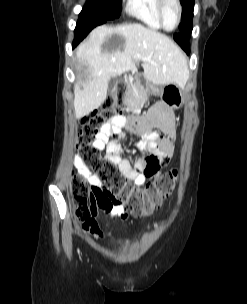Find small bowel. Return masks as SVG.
<instances>
[{"label": "small bowel", "mask_w": 247, "mask_h": 304, "mask_svg": "<svg viewBox=\"0 0 247 304\" xmlns=\"http://www.w3.org/2000/svg\"><path fill=\"white\" fill-rule=\"evenodd\" d=\"M147 120L151 122L153 127H157L163 135L149 130L148 125L145 123L127 120L124 116L117 115L102 126L94 141V145L100 151L105 148L107 150V155L103 157L104 162H111V165H117L121 173L131 180L137 188L141 187L146 179L155 176L160 168L169 164L174 154L173 142L176 137V130L172 110L163 103H157L149 110ZM123 128H127L132 134L141 136L138 147L141 150L150 151L144 152L142 159H134L137 160L134 164L131 163L130 158H127L126 152H121L124 150L123 144L109 142V139L116 141L121 137ZM132 156L136 155L133 154ZM155 158L157 160V167L151 168L148 159ZM74 165L78 173L101 195L100 199L95 201L93 216H96L98 211L102 210L110 217L125 219L127 213L123 204L103 190L100 180L89 170L81 155H75ZM83 229L96 237H102L95 219L84 224Z\"/></svg>", "instance_id": "obj_1"}]
</instances>
